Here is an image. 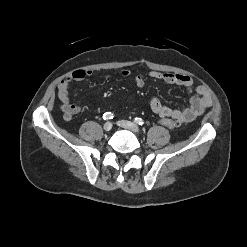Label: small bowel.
<instances>
[{"label":"small bowel","mask_w":247,"mask_h":247,"mask_svg":"<svg viewBox=\"0 0 247 247\" xmlns=\"http://www.w3.org/2000/svg\"><path fill=\"white\" fill-rule=\"evenodd\" d=\"M120 74L123 77H128L131 72L129 70H122ZM90 76H92L90 70L77 69L58 84L57 94L61 101V110L65 121L70 122L73 116L80 113L83 109L80 105H75L70 102V83L73 81H81ZM148 76L167 84L184 87L188 92L195 93L190 100L189 106L182 109H172L163 105L158 98H152L150 107L154 113L162 118H170L176 120L178 123L187 124L201 115L212 104L208 90L203 86L194 87L193 80L189 76L158 71H150ZM134 82L138 88H142L145 85V79L142 75H137Z\"/></svg>","instance_id":"small-bowel-1"}]
</instances>
